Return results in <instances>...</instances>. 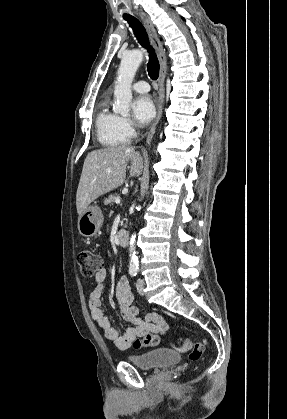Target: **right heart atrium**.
<instances>
[{"label":"right heart atrium","instance_id":"d8ad5b80","mask_svg":"<svg viewBox=\"0 0 287 419\" xmlns=\"http://www.w3.org/2000/svg\"><path fill=\"white\" fill-rule=\"evenodd\" d=\"M120 130L127 141L134 138L137 134L135 124L126 117H120Z\"/></svg>","mask_w":287,"mask_h":419}]
</instances>
